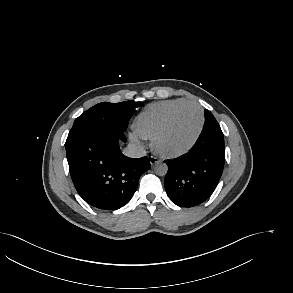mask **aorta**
<instances>
[{
	"mask_svg": "<svg viewBox=\"0 0 293 293\" xmlns=\"http://www.w3.org/2000/svg\"><path fill=\"white\" fill-rule=\"evenodd\" d=\"M154 171L159 176H164L167 174L168 167L165 163L157 162L154 166Z\"/></svg>",
	"mask_w": 293,
	"mask_h": 293,
	"instance_id": "1",
	"label": "aorta"
}]
</instances>
